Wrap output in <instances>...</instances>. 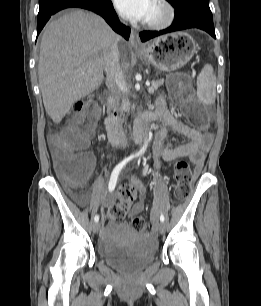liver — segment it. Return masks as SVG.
I'll use <instances>...</instances> for the list:
<instances>
[{
    "label": "liver",
    "mask_w": 261,
    "mask_h": 306,
    "mask_svg": "<svg viewBox=\"0 0 261 306\" xmlns=\"http://www.w3.org/2000/svg\"><path fill=\"white\" fill-rule=\"evenodd\" d=\"M118 42V35L92 12L74 10L48 24L38 76L45 110L55 123L102 84L105 59ZM128 67L123 61L122 69Z\"/></svg>",
    "instance_id": "liver-1"
}]
</instances>
